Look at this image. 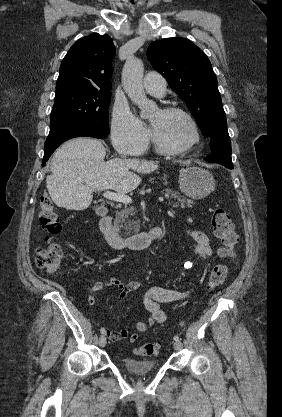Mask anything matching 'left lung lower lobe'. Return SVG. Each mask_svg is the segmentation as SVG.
<instances>
[{
    "instance_id": "1",
    "label": "left lung lower lobe",
    "mask_w": 282,
    "mask_h": 417,
    "mask_svg": "<svg viewBox=\"0 0 282 417\" xmlns=\"http://www.w3.org/2000/svg\"><path fill=\"white\" fill-rule=\"evenodd\" d=\"M208 138L211 139L210 146L212 155L208 156L206 160L233 169L234 167L231 160V141L227 126L217 128Z\"/></svg>"
}]
</instances>
